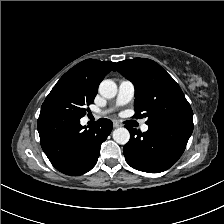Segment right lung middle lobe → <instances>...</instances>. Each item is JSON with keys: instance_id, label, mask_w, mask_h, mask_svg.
Masks as SVG:
<instances>
[{"instance_id": "right-lung-middle-lobe-1", "label": "right lung middle lobe", "mask_w": 224, "mask_h": 224, "mask_svg": "<svg viewBox=\"0 0 224 224\" xmlns=\"http://www.w3.org/2000/svg\"><path fill=\"white\" fill-rule=\"evenodd\" d=\"M95 96L96 93L62 76L46 97L41 111L52 110L80 119L85 116L86 106L93 103Z\"/></svg>"}]
</instances>
